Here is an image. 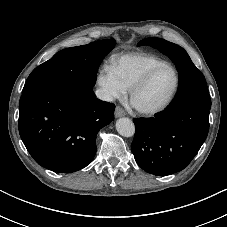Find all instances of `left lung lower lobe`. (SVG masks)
<instances>
[{"label":"left lung lower lobe","mask_w":227,"mask_h":227,"mask_svg":"<svg viewBox=\"0 0 227 227\" xmlns=\"http://www.w3.org/2000/svg\"><path fill=\"white\" fill-rule=\"evenodd\" d=\"M209 110L201 106H180L154 118L134 119L136 131L131 149L137 164L158 176L183 170L208 135Z\"/></svg>","instance_id":"0a47b994"}]
</instances>
